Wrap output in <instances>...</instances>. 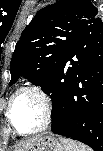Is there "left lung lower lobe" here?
<instances>
[{
	"label": "left lung lower lobe",
	"instance_id": "obj_1",
	"mask_svg": "<svg viewBox=\"0 0 103 151\" xmlns=\"http://www.w3.org/2000/svg\"><path fill=\"white\" fill-rule=\"evenodd\" d=\"M42 89L52 99L51 131L103 151V24L82 32Z\"/></svg>",
	"mask_w": 103,
	"mask_h": 151
}]
</instances>
